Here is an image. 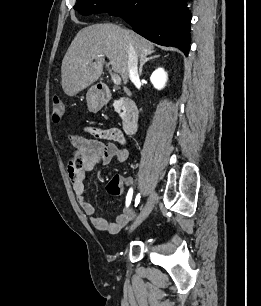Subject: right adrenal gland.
<instances>
[{
  "instance_id": "2a0ac1e0",
  "label": "right adrenal gland",
  "mask_w": 261,
  "mask_h": 306,
  "mask_svg": "<svg viewBox=\"0 0 261 306\" xmlns=\"http://www.w3.org/2000/svg\"><path fill=\"white\" fill-rule=\"evenodd\" d=\"M160 56L159 55H154V56H151L149 58H142L141 59V62H140V67H139V75H142V69H143V66L145 63H147L148 61L152 60V59H155V58H159Z\"/></svg>"
}]
</instances>
